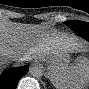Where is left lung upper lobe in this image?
Listing matches in <instances>:
<instances>
[{"mask_svg": "<svg viewBox=\"0 0 89 89\" xmlns=\"http://www.w3.org/2000/svg\"><path fill=\"white\" fill-rule=\"evenodd\" d=\"M65 24L74 31L80 30V29L89 30V24L86 22L73 20V21H67V22H65Z\"/></svg>", "mask_w": 89, "mask_h": 89, "instance_id": "left-lung-upper-lobe-1", "label": "left lung upper lobe"}]
</instances>
